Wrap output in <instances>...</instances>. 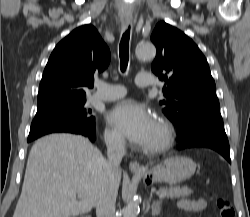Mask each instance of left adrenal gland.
Segmentation results:
<instances>
[{"instance_id":"a2214340","label":"left adrenal gland","mask_w":250,"mask_h":217,"mask_svg":"<svg viewBox=\"0 0 250 217\" xmlns=\"http://www.w3.org/2000/svg\"><path fill=\"white\" fill-rule=\"evenodd\" d=\"M152 195L150 196V199L147 201V209H150V201H151ZM161 203L162 200L159 201H154L151 205V214L152 216H156L158 214H160L161 211Z\"/></svg>"}]
</instances>
